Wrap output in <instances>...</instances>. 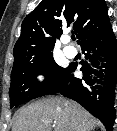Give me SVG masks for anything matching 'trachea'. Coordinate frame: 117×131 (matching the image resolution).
Listing matches in <instances>:
<instances>
[{"label":"trachea","instance_id":"1","mask_svg":"<svg viewBox=\"0 0 117 131\" xmlns=\"http://www.w3.org/2000/svg\"><path fill=\"white\" fill-rule=\"evenodd\" d=\"M75 39H76L75 36H72V40L75 41Z\"/></svg>","mask_w":117,"mask_h":131}]
</instances>
